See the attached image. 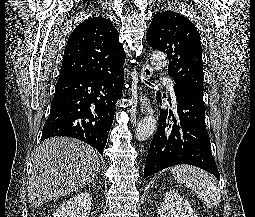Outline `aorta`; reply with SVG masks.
I'll use <instances>...</instances> for the list:
<instances>
[{"label":"aorta","mask_w":255,"mask_h":217,"mask_svg":"<svg viewBox=\"0 0 255 217\" xmlns=\"http://www.w3.org/2000/svg\"><path fill=\"white\" fill-rule=\"evenodd\" d=\"M150 61L152 66L157 70L163 69L168 65V59L166 55L162 52L157 51L153 52ZM156 125L157 121L153 116L149 115L144 117L138 123V126L135 131V138L138 141L147 140L155 132Z\"/></svg>","instance_id":"1"}]
</instances>
